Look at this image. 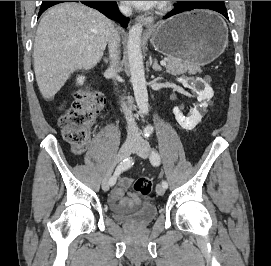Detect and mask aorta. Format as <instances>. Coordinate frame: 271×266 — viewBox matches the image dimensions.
<instances>
[{"mask_svg":"<svg viewBox=\"0 0 271 266\" xmlns=\"http://www.w3.org/2000/svg\"><path fill=\"white\" fill-rule=\"evenodd\" d=\"M142 30L143 27L140 23H137L130 28L128 34L127 52L129 69L131 73V82L137 106L141 113L148 114V92L146 87L144 63L141 51ZM144 132L147 135L152 134L153 127L147 126L144 129Z\"/></svg>","mask_w":271,"mask_h":266,"instance_id":"obj_1","label":"aorta"}]
</instances>
